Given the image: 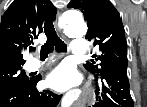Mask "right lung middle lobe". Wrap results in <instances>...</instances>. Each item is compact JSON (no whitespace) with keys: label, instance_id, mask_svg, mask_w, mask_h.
<instances>
[{"label":"right lung middle lobe","instance_id":"right-lung-middle-lobe-1","mask_svg":"<svg viewBox=\"0 0 147 107\" xmlns=\"http://www.w3.org/2000/svg\"><path fill=\"white\" fill-rule=\"evenodd\" d=\"M21 66L15 65L0 69V92L17 85L25 84L30 80Z\"/></svg>","mask_w":147,"mask_h":107}]
</instances>
